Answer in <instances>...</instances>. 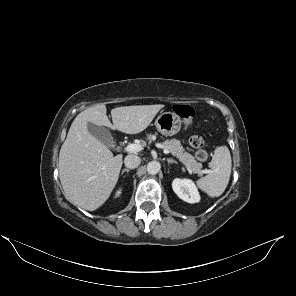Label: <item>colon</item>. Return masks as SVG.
Listing matches in <instances>:
<instances>
[{
  "label": "colon",
  "mask_w": 296,
  "mask_h": 296,
  "mask_svg": "<svg viewBox=\"0 0 296 296\" xmlns=\"http://www.w3.org/2000/svg\"><path fill=\"white\" fill-rule=\"evenodd\" d=\"M173 111L183 119L185 128H189L193 124V119L195 116L194 109L187 104H175L173 106ZM189 145L197 150L196 151V158L201 161L205 162L208 160V153L203 149L204 147V139L200 135H192L189 140Z\"/></svg>",
  "instance_id": "colon-1"
}]
</instances>
